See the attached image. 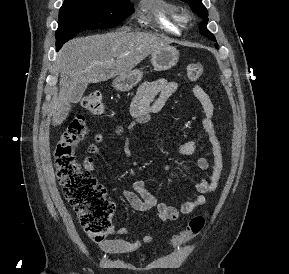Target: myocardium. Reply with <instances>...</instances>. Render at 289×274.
Returning <instances> with one entry per match:
<instances>
[{
  "label": "myocardium",
  "mask_w": 289,
  "mask_h": 274,
  "mask_svg": "<svg viewBox=\"0 0 289 274\" xmlns=\"http://www.w3.org/2000/svg\"><path fill=\"white\" fill-rule=\"evenodd\" d=\"M182 19L184 22L190 21L192 19V16L190 13L186 12L182 15Z\"/></svg>",
  "instance_id": "1"
}]
</instances>
